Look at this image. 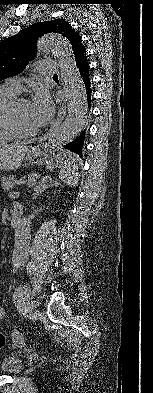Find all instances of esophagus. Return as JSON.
Masks as SVG:
<instances>
[{
  "mask_svg": "<svg viewBox=\"0 0 153 393\" xmlns=\"http://www.w3.org/2000/svg\"><path fill=\"white\" fill-rule=\"evenodd\" d=\"M66 115V105L63 103L60 107L59 113H58V117L54 123L53 126H58L59 124H61V122L63 121L64 117Z\"/></svg>",
  "mask_w": 153,
  "mask_h": 393,
  "instance_id": "1",
  "label": "esophagus"
}]
</instances>
